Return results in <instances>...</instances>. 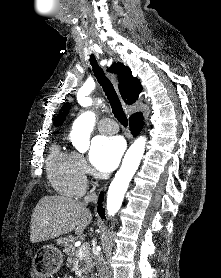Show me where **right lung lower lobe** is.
<instances>
[{"label": "right lung lower lobe", "mask_w": 221, "mask_h": 278, "mask_svg": "<svg viewBox=\"0 0 221 278\" xmlns=\"http://www.w3.org/2000/svg\"><path fill=\"white\" fill-rule=\"evenodd\" d=\"M143 127V116L142 115H135L130 117V130L133 133L134 136L139 134V132L142 130ZM102 201H103V193L99 196L98 201V213L102 218H105V210L102 207Z\"/></svg>", "instance_id": "obj_1"}]
</instances>
